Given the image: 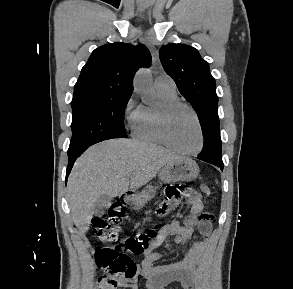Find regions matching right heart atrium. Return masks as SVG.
Here are the masks:
<instances>
[{"label": "right heart atrium", "mask_w": 293, "mask_h": 289, "mask_svg": "<svg viewBox=\"0 0 293 289\" xmlns=\"http://www.w3.org/2000/svg\"><path fill=\"white\" fill-rule=\"evenodd\" d=\"M139 109H140V106H137L136 95L132 94L125 104L124 112L126 115H132L134 119Z\"/></svg>", "instance_id": "1"}]
</instances>
